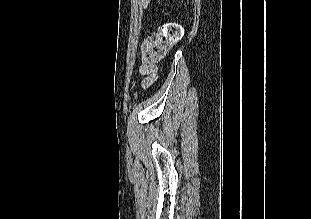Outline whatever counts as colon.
Returning <instances> with one entry per match:
<instances>
[{"instance_id": "1", "label": "colon", "mask_w": 311, "mask_h": 219, "mask_svg": "<svg viewBox=\"0 0 311 219\" xmlns=\"http://www.w3.org/2000/svg\"><path fill=\"white\" fill-rule=\"evenodd\" d=\"M183 36L182 27L175 22L164 24L156 33L147 36L143 43V58L147 64L161 60ZM152 71V68H147Z\"/></svg>"}]
</instances>
